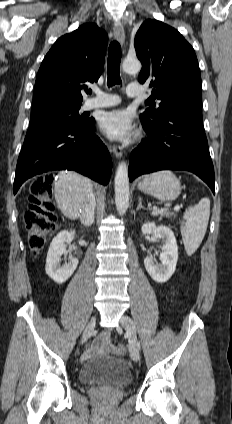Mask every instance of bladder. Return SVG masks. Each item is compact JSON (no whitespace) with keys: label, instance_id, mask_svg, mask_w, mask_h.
Segmentation results:
<instances>
[{"label":"bladder","instance_id":"obj_1","mask_svg":"<svg viewBox=\"0 0 232 424\" xmlns=\"http://www.w3.org/2000/svg\"><path fill=\"white\" fill-rule=\"evenodd\" d=\"M82 384L109 383L127 386L132 375L124 361L110 357H95L86 361L78 372Z\"/></svg>","mask_w":232,"mask_h":424}]
</instances>
